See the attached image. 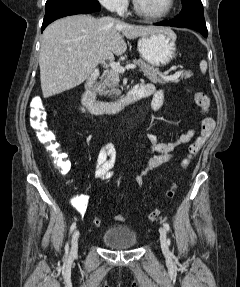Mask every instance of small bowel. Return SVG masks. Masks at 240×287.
I'll return each instance as SVG.
<instances>
[{
    "label": "small bowel",
    "instance_id": "obj_1",
    "mask_svg": "<svg viewBox=\"0 0 240 287\" xmlns=\"http://www.w3.org/2000/svg\"><path fill=\"white\" fill-rule=\"evenodd\" d=\"M146 96H153L152 108L155 111L161 109L164 103V93L157 90L152 84H140ZM83 111L82 108H79ZM194 130H188L179 134L174 140L160 142L154 135L148 136V148L150 155L145 161L144 169L135 176L134 182L142 185L145 176L152 170L172 161L178 148L188 143L194 136ZM116 162L115 149L111 144H105L101 147L95 160L94 172L95 177L100 180H109L115 176L113 167ZM89 203V196L81 194L72 199V206L80 213L84 214Z\"/></svg>",
    "mask_w": 240,
    "mask_h": 287
}]
</instances>
